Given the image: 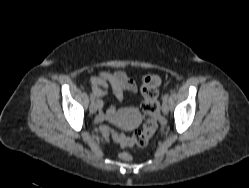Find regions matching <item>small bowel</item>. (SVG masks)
Segmentation results:
<instances>
[{
  "label": "small bowel",
  "mask_w": 249,
  "mask_h": 188,
  "mask_svg": "<svg viewBox=\"0 0 249 188\" xmlns=\"http://www.w3.org/2000/svg\"><path fill=\"white\" fill-rule=\"evenodd\" d=\"M108 83L111 85L114 95L119 101L124 98V92L135 93L136 84L122 71H101L90 78V84L94 94L98 97L97 106L99 114L96 117L97 122L110 121L116 119L114 106H106L103 97L107 94Z\"/></svg>",
  "instance_id": "small-bowel-1"
}]
</instances>
